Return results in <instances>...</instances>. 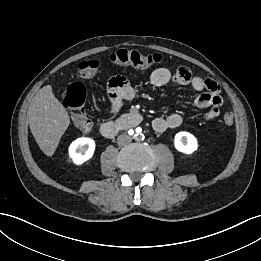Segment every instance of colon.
<instances>
[{
  "mask_svg": "<svg viewBox=\"0 0 261 261\" xmlns=\"http://www.w3.org/2000/svg\"><path fill=\"white\" fill-rule=\"evenodd\" d=\"M110 60L118 65H130L138 68H147L161 62L160 54H143L136 50L120 49L110 54ZM99 67L97 60L82 61L77 65L76 76L79 79H89L95 75ZM86 89L80 82L71 84L65 94L64 104L73 112V121L76 127L83 133L90 131L92 122L84 111ZM234 116L231 112H225L223 123L231 126Z\"/></svg>",
  "mask_w": 261,
  "mask_h": 261,
  "instance_id": "1",
  "label": "colon"
}]
</instances>
